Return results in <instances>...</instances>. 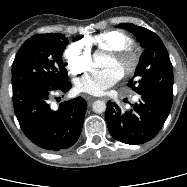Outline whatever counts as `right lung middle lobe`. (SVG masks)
Returning <instances> with one entry per match:
<instances>
[{"instance_id":"1","label":"right lung middle lobe","mask_w":187,"mask_h":187,"mask_svg":"<svg viewBox=\"0 0 187 187\" xmlns=\"http://www.w3.org/2000/svg\"><path fill=\"white\" fill-rule=\"evenodd\" d=\"M82 36L74 40L81 39ZM69 41L64 34H37L27 39L12 64L13 93L29 85H61L68 80L62 54Z\"/></svg>"}]
</instances>
